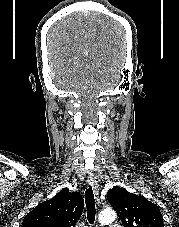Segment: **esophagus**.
Here are the masks:
<instances>
[{"label":"esophagus","instance_id":"obj_1","mask_svg":"<svg viewBox=\"0 0 179 227\" xmlns=\"http://www.w3.org/2000/svg\"><path fill=\"white\" fill-rule=\"evenodd\" d=\"M88 183L89 185L92 186L93 192L95 194L96 202L99 205L100 204V199H99V189H98V184L95 178L93 177L92 174L89 175L88 177Z\"/></svg>","mask_w":179,"mask_h":227}]
</instances>
